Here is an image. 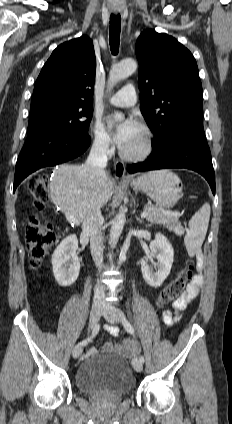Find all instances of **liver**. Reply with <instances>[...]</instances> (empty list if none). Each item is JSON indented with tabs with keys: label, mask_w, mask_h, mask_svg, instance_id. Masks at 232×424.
Listing matches in <instances>:
<instances>
[{
	"label": "liver",
	"mask_w": 232,
	"mask_h": 424,
	"mask_svg": "<svg viewBox=\"0 0 232 424\" xmlns=\"http://www.w3.org/2000/svg\"><path fill=\"white\" fill-rule=\"evenodd\" d=\"M113 191L114 181L111 177L106 176L101 185H94L85 171V165H59L50 182L52 202L79 222L95 208L96 202L101 209L111 199Z\"/></svg>",
	"instance_id": "1"
}]
</instances>
